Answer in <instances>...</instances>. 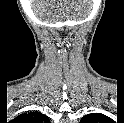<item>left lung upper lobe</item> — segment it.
I'll use <instances>...</instances> for the list:
<instances>
[{
	"instance_id": "1",
	"label": "left lung upper lobe",
	"mask_w": 124,
	"mask_h": 123,
	"mask_svg": "<svg viewBox=\"0 0 124 123\" xmlns=\"http://www.w3.org/2000/svg\"><path fill=\"white\" fill-rule=\"evenodd\" d=\"M106 116L100 113H91L81 118L80 123H100Z\"/></svg>"
}]
</instances>
